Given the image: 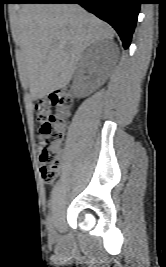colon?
<instances>
[{"instance_id":"1","label":"colon","mask_w":166,"mask_h":267,"mask_svg":"<svg viewBox=\"0 0 166 267\" xmlns=\"http://www.w3.org/2000/svg\"><path fill=\"white\" fill-rule=\"evenodd\" d=\"M74 97L69 88L51 93L35 105L39 125V159L42 178L46 182L55 179L62 164L60 145L64 137L66 121L70 117Z\"/></svg>"}]
</instances>
